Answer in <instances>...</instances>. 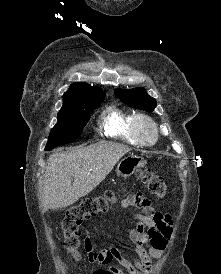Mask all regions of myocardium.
I'll use <instances>...</instances> for the list:
<instances>
[{
	"mask_svg": "<svg viewBox=\"0 0 221 274\" xmlns=\"http://www.w3.org/2000/svg\"><path fill=\"white\" fill-rule=\"evenodd\" d=\"M144 128H148L151 138L146 139L143 135ZM133 133L139 143L143 146L154 145L159 138V131L156 122L146 114H137L133 120Z\"/></svg>",
	"mask_w": 221,
	"mask_h": 274,
	"instance_id": "myocardium-1",
	"label": "myocardium"
}]
</instances>
